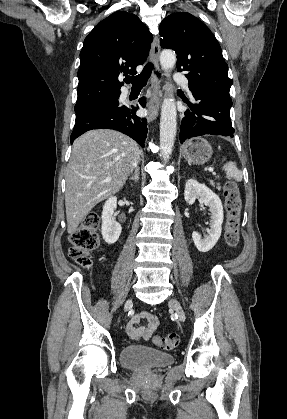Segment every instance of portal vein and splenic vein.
Wrapping results in <instances>:
<instances>
[{"label":"portal vein and splenic vein","mask_w":287,"mask_h":419,"mask_svg":"<svg viewBox=\"0 0 287 419\" xmlns=\"http://www.w3.org/2000/svg\"><path fill=\"white\" fill-rule=\"evenodd\" d=\"M209 171L213 173V169H209Z\"/></svg>","instance_id":"portal-vein-and-splenic-vein-1"}]
</instances>
